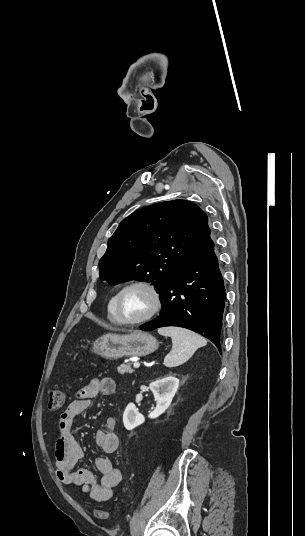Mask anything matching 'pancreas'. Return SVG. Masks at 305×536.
I'll return each mask as SVG.
<instances>
[{
    "label": "pancreas",
    "instance_id": "1",
    "mask_svg": "<svg viewBox=\"0 0 305 536\" xmlns=\"http://www.w3.org/2000/svg\"><path fill=\"white\" fill-rule=\"evenodd\" d=\"M132 362H129V364H121L119 368H117L119 374H132L134 370L131 368Z\"/></svg>",
    "mask_w": 305,
    "mask_h": 536
}]
</instances>
